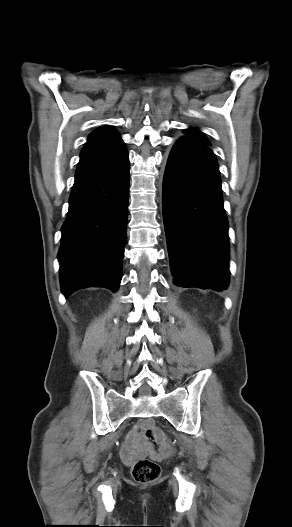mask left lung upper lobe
Masks as SVG:
<instances>
[{"instance_id": "left-lung-upper-lobe-1", "label": "left lung upper lobe", "mask_w": 292, "mask_h": 527, "mask_svg": "<svg viewBox=\"0 0 292 527\" xmlns=\"http://www.w3.org/2000/svg\"><path fill=\"white\" fill-rule=\"evenodd\" d=\"M185 133L187 134L188 137H183L181 139L192 140V141L202 143V144H209L208 140L203 135V133L197 129H187Z\"/></svg>"}]
</instances>
